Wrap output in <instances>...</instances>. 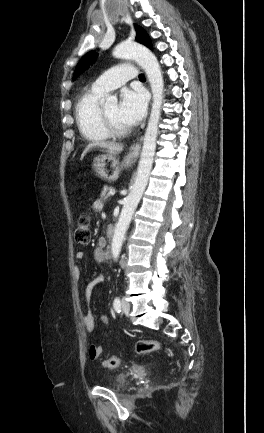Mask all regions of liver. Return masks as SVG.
I'll return each instance as SVG.
<instances>
[{"label":"liver","instance_id":"liver-1","mask_svg":"<svg viewBox=\"0 0 264 433\" xmlns=\"http://www.w3.org/2000/svg\"><path fill=\"white\" fill-rule=\"evenodd\" d=\"M94 147H100L105 149L109 154L116 155L123 150V145L113 143V142H105V141H97L89 143L86 148L84 149L81 159L84 158V156Z\"/></svg>","mask_w":264,"mask_h":433}]
</instances>
